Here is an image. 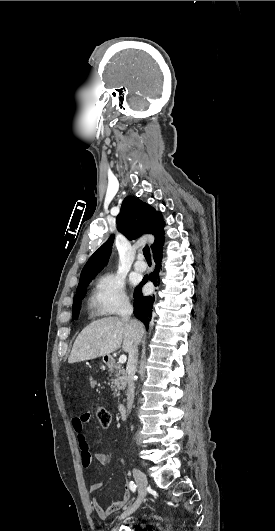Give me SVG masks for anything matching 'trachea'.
<instances>
[{"label": "trachea", "mask_w": 275, "mask_h": 531, "mask_svg": "<svg viewBox=\"0 0 275 531\" xmlns=\"http://www.w3.org/2000/svg\"><path fill=\"white\" fill-rule=\"evenodd\" d=\"M143 254H144L145 259H146L147 261H151L150 249H149L148 245H146V246L144 247V249H143Z\"/></svg>", "instance_id": "1"}]
</instances>
